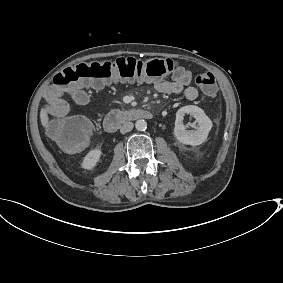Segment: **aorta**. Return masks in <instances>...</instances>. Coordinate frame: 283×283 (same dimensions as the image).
I'll use <instances>...</instances> for the list:
<instances>
[{
  "mask_svg": "<svg viewBox=\"0 0 283 283\" xmlns=\"http://www.w3.org/2000/svg\"><path fill=\"white\" fill-rule=\"evenodd\" d=\"M135 128L138 131H144L147 128V122L145 120H143V119H139L135 123Z\"/></svg>",
  "mask_w": 283,
  "mask_h": 283,
  "instance_id": "obj_1",
  "label": "aorta"
}]
</instances>
